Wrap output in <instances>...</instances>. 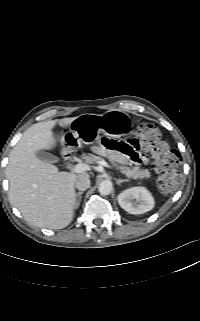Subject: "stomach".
<instances>
[{
	"instance_id": "obj_1",
	"label": "stomach",
	"mask_w": 200,
	"mask_h": 321,
	"mask_svg": "<svg viewBox=\"0 0 200 321\" xmlns=\"http://www.w3.org/2000/svg\"><path fill=\"white\" fill-rule=\"evenodd\" d=\"M130 116L120 110L107 111L104 114H82L70 124L69 131L62 141L69 150H75L82 143L89 144L98 138L99 133L110 137H121L131 132Z\"/></svg>"
}]
</instances>
